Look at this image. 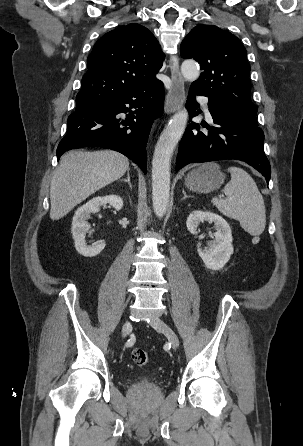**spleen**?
<instances>
[{
    "label": "spleen",
    "mask_w": 303,
    "mask_h": 446,
    "mask_svg": "<svg viewBox=\"0 0 303 446\" xmlns=\"http://www.w3.org/2000/svg\"><path fill=\"white\" fill-rule=\"evenodd\" d=\"M231 180L226 184V199L214 197L212 203L225 216L240 222L252 236H259L265 229L264 200L254 179L239 167H229Z\"/></svg>",
    "instance_id": "3e777b00"
}]
</instances>
